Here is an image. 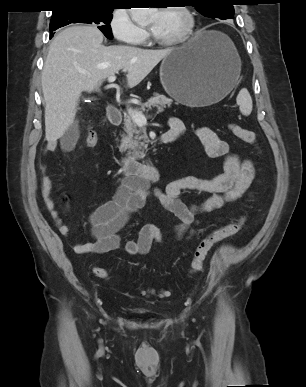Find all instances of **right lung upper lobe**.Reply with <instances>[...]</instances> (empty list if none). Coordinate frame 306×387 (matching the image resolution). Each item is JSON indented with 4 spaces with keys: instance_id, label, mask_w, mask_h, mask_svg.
Here are the masks:
<instances>
[{
    "instance_id": "obj_1",
    "label": "right lung upper lobe",
    "mask_w": 306,
    "mask_h": 387,
    "mask_svg": "<svg viewBox=\"0 0 306 387\" xmlns=\"http://www.w3.org/2000/svg\"><path fill=\"white\" fill-rule=\"evenodd\" d=\"M57 7L53 13L61 12L62 10L70 7H83V6H104L112 7L115 4V0H56Z\"/></svg>"
}]
</instances>
